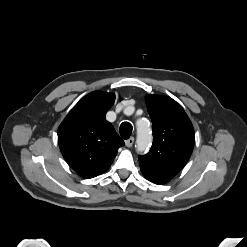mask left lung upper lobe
<instances>
[{"instance_id": "5c2ea615", "label": "left lung upper lobe", "mask_w": 247, "mask_h": 247, "mask_svg": "<svg viewBox=\"0 0 247 247\" xmlns=\"http://www.w3.org/2000/svg\"><path fill=\"white\" fill-rule=\"evenodd\" d=\"M153 125V144L139 156L142 174L151 182H169L189 160L195 141L194 129L183 108L172 98L146 95Z\"/></svg>"}]
</instances>
